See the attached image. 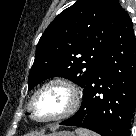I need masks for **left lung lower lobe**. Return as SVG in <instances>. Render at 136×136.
<instances>
[{
  "label": "left lung lower lobe",
  "mask_w": 136,
  "mask_h": 136,
  "mask_svg": "<svg viewBox=\"0 0 136 136\" xmlns=\"http://www.w3.org/2000/svg\"><path fill=\"white\" fill-rule=\"evenodd\" d=\"M136 108V42L127 15L84 87L80 110L61 125L101 136H130Z\"/></svg>",
  "instance_id": "0a47b994"
}]
</instances>
